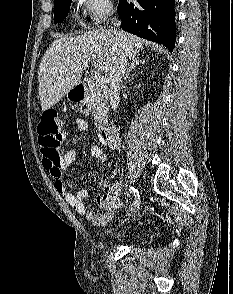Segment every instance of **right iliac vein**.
<instances>
[{
  "label": "right iliac vein",
  "instance_id": "1",
  "mask_svg": "<svg viewBox=\"0 0 233 294\" xmlns=\"http://www.w3.org/2000/svg\"><path fill=\"white\" fill-rule=\"evenodd\" d=\"M140 200L136 199L131 208L128 211V216L130 217L131 215L135 214L137 212V209L139 207Z\"/></svg>",
  "mask_w": 233,
  "mask_h": 294
}]
</instances>
